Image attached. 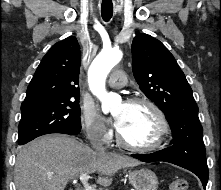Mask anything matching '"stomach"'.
I'll use <instances>...</instances> for the list:
<instances>
[{"label":"stomach","mask_w":221,"mask_h":190,"mask_svg":"<svg viewBox=\"0 0 221 190\" xmlns=\"http://www.w3.org/2000/svg\"><path fill=\"white\" fill-rule=\"evenodd\" d=\"M129 181L135 190H157L158 179L149 169H140L129 173Z\"/></svg>","instance_id":"1"}]
</instances>
